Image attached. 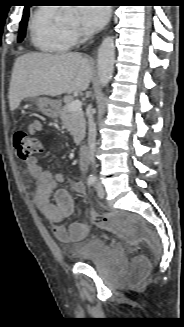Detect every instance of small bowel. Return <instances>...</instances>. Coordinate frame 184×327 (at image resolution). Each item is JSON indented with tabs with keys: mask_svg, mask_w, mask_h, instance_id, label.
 <instances>
[{
	"mask_svg": "<svg viewBox=\"0 0 184 327\" xmlns=\"http://www.w3.org/2000/svg\"><path fill=\"white\" fill-rule=\"evenodd\" d=\"M41 130L42 122L40 119L36 118L28 125L30 135L36 136ZM27 171L37 184L33 194L34 204L52 224V231L55 237L61 241L83 239L88 233L87 223L76 221L68 227L60 224L74 210L73 199L69 192L58 187L64 181L63 175L43 169L34 158L27 163ZM75 189L77 192L82 193L85 191V186L82 182H77Z\"/></svg>",
	"mask_w": 184,
	"mask_h": 327,
	"instance_id": "obj_1",
	"label": "small bowel"
}]
</instances>
